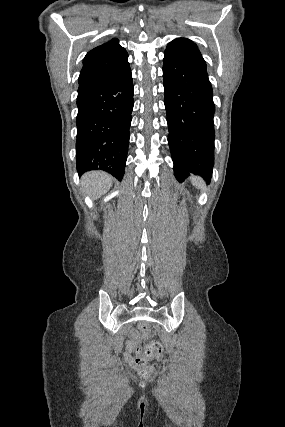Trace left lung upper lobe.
Masks as SVG:
<instances>
[{"label": "left lung upper lobe", "instance_id": "obj_1", "mask_svg": "<svg viewBox=\"0 0 285 427\" xmlns=\"http://www.w3.org/2000/svg\"><path fill=\"white\" fill-rule=\"evenodd\" d=\"M169 53L185 54L204 60L196 44L186 38H177L171 41L165 50V54Z\"/></svg>", "mask_w": 285, "mask_h": 427}]
</instances>
